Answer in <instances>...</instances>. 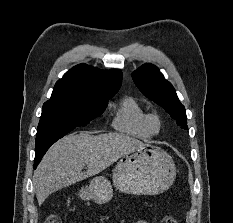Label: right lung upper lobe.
Here are the masks:
<instances>
[{"instance_id":"obj_1","label":"right lung upper lobe","mask_w":233,"mask_h":223,"mask_svg":"<svg viewBox=\"0 0 233 223\" xmlns=\"http://www.w3.org/2000/svg\"><path fill=\"white\" fill-rule=\"evenodd\" d=\"M122 72L99 70L79 64L58 80L51 98H69L88 102H107L119 90Z\"/></svg>"}]
</instances>
